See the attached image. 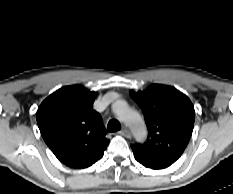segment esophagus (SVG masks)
<instances>
[{
	"label": "esophagus",
	"instance_id": "34e87169",
	"mask_svg": "<svg viewBox=\"0 0 233 194\" xmlns=\"http://www.w3.org/2000/svg\"><path fill=\"white\" fill-rule=\"evenodd\" d=\"M119 133L121 135H123L124 137H126V138H131L132 137L131 132L126 128L122 129Z\"/></svg>",
	"mask_w": 233,
	"mask_h": 194
}]
</instances>
